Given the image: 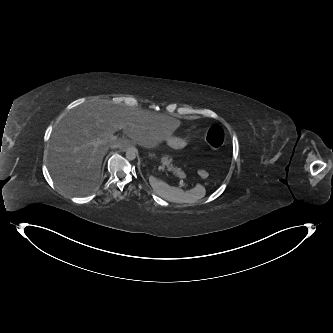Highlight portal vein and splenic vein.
Instances as JSON below:
<instances>
[{"label":"portal vein and splenic vein","mask_w":333,"mask_h":333,"mask_svg":"<svg viewBox=\"0 0 333 333\" xmlns=\"http://www.w3.org/2000/svg\"><path fill=\"white\" fill-rule=\"evenodd\" d=\"M119 129H123V126H119ZM105 139H111V140H115V139H117V136H115V135H112V134H107L106 136H105ZM102 143V140H97L95 143H94V145H97V144H101ZM176 173L178 172L177 170L175 171ZM186 177V176H185ZM184 177V178H185Z\"/></svg>","instance_id":"18ae733b"}]
</instances>
